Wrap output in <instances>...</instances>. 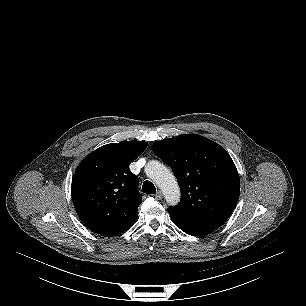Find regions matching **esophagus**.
Returning a JSON list of instances; mask_svg holds the SVG:
<instances>
[{
    "label": "esophagus",
    "mask_w": 306,
    "mask_h": 306,
    "mask_svg": "<svg viewBox=\"0 0 306 306\" xmlns=\"http://www.w3.org/2000/svg\"><path fill=\"white\" fill-rule=\"evenodd\" d=\"M155 197H156V199H158V200L162 199V197H163L162 191L159 190V191L156 193Z\"/></svg>",
    "instance_id": "1"
}]
</instances>
